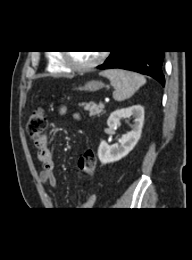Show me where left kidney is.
I'll return each instance as SVG.
<instances>
[{
	"label": "left kidney",
	"instance_id": "left-kidney-1",
	"mask_svg": "<svg viewBox=\"0 0 192 260\" xmlns=\"http://www.w3.org/2000/svg\"><path fill=\"white\" fill-rule=\"evenodd\" d=\"M129 117L134 118L132 129L123 135L118 143L108 145L106 141H101L98 148V158L102 164L119 161L128 155L139 141L144 123V108L141 105H133L112 112L107 125L111 128L117 127L122 118Z\"/></svg>",
	"mask_w": 192,
	"mask_h": 260
}]
</instances>
